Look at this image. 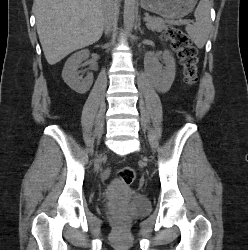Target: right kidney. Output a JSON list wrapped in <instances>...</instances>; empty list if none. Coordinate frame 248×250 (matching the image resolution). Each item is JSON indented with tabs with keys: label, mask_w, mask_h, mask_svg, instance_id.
<instances>
[{
	"label": "right kidney",
	"mask_w": 248,
	"mask_h": 250,
	"mask_svg": "<svg viewBox=\"0 0 248 250\" xmlns=\"http://www.w3.org/2000/svg\"><path fill=\"white\" fill-rule=\"evenodd\" d=\"M89 50L84 49L74 53L65 63L62 78L64 82L75 92L79 94L86 93L93 84V74L88 73L83 79L79 76L78 68L81 63L88 59Z\"/></svg>",
	"instance_id": "1"
}]
</instances>
